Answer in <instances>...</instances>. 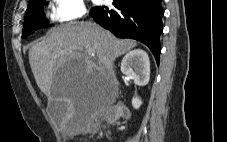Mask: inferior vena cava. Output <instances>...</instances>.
<instances>
[{
    "label": "inferior vena cava",
    "mask_w": 227,
    "mask_h": 142,
    "mask_svg": "<svg viewBox=\"0 0 227 142\" xmlns=\"http://www.w3.org/2000/svg\"><path fill=\"white\" fill-rule=\"evenodd\" d=\"M90 25H94L93 23L89 22Z\"/></svg>",
    "instance_id": "obj_1"
}]
</instances>
